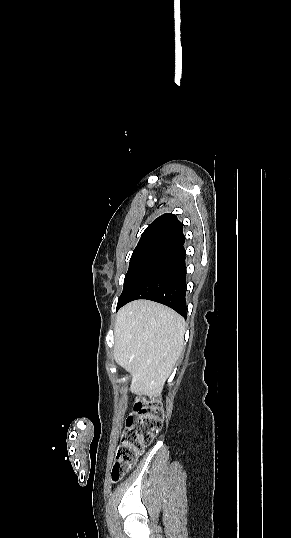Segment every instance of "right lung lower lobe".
Listing matches in <instances>:
<instances>
[{
	"label": "right lung lower lobe",
	"mask_w": 291,
	"mask_h": 538,
	"mask_svg": "<svg viewBox=\"0 0 291 538\" xmlns=\"http://www.w3.org/2000/svg\"><path fill=\"white\" fill-rule=\"evenodd\" d=\"M185 255L183 246L174 249L143 278L128 302L136 299L156 301L186 317Z\"/></svg>",
	"instance_id": "1"
}]
</instances>
